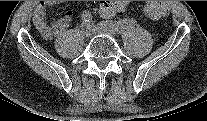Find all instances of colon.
Masks as SVG:
<instances>
[{"instance_id":"5ec220e1","label":"colon","mask_w":207,"mask_h":121,"mask_svg":"<svg viewBox=\"0 0 207 121\" xmlns=\"http://www.w3.org/2000/svg\"><path fill=\"white\" fill-rule=\"evenodd\" d=\"M144 12L152 20H158L169 13L168 6L161 1H150L144 6Z\"/></svg>"}]
</instances>
